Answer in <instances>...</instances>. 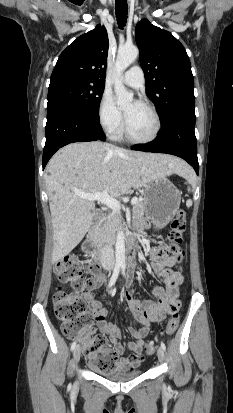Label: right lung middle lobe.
I'll return each instance as SVG.
<instances>
[{"label":"right lung middle lobe","instance_id":"dd1d6c3e","mask_svg":"<svg viewBox=\"0 0 233 413\" xmlns=\"http://www.w3.org/2000/svg\"><path fill=\"white\" fill-rule=\"evenodd\" d=\"M103 90V84H94L78 79L50 82L47 110L55 107H68L98 120L99 103Z\"/></svg>","mask_w":233,"mask_h":413}]
</instances>
